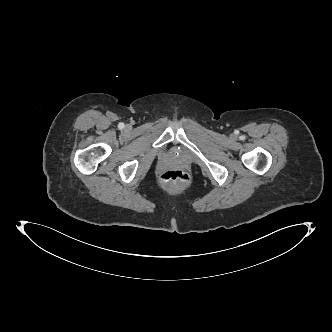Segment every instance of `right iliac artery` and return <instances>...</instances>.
Listing matches in <instances>:
<instances>
[{
    "label": "right iliac artery",
    "mask_w": 332,
    "mask_h": 332,
    "mask_svg": "<svg viewBox=\"0 0 332 332\" xmlns=\"http://www.w3.org/2000/svg\"><path fill=\"white\" fill-rule=\"evenodd\" d=\"M120 127H123V124H120Z\"/></svg>",
    "instance_id": "right-iliac-artery-1"
}]
</instances>
